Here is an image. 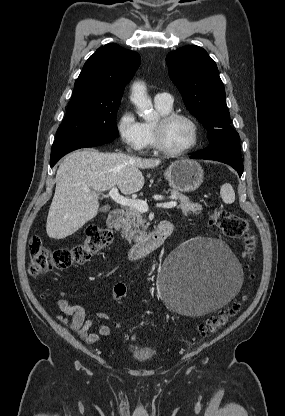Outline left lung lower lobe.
I'll return each instance as SVG.
<instances>
[{
    "label": "left lung lower lobe",
    "instance_id": "left-lung-lower-lobe-1",
    "mask_svg": "<svg viewBox=\"0 0 285 416\" xmlns=\"http://www.w3.org/2000/svg\"><path fill=\"white\" fill-rule=\"evenodd\" d=\"M192 159H207L226 163L233 167L241 177L243 164L239 139L213 143L211 146L194 153Z\"/></svg>",
    "mask_w": 285,
    "mask_h": 416
}]
</instances>
